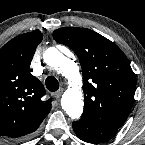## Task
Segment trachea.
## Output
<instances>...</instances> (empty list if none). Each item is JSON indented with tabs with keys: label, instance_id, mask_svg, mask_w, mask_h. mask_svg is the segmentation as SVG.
Masks as SVG:
<instances>
[{
	"label": "trachea",
	"instance_id": "1",
	"mask_svg": "<svg viewBox=\"0 0 145 145\" xmlns=\"http://www.w3.org/2000/svg\"><path fill=\"white\" fill-rule=\"evenodd\" d=\"M45 85H46L47 89L51 92H54V91L58 90V88H59V82L53 76H48L46 78Z\"/></svg>",
	"mask_w": 145,
	"mask_h": 145
}]
</instances>
